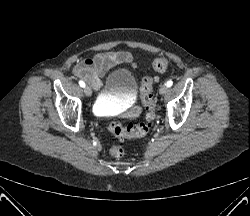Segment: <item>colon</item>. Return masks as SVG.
<instances>
[{"label":"colon","instance_id":"obj_1","mask_svg":"<svg viewBox=\"0 0 250 216\" xmlns=\"http://www.w3.org/2000/svg\"><path fill=\"white\" fill-rule=\"evenodd\" d=\"M169 66V60L165 57L157 58L153 61L152 67L155 72L163 73ZM157 81L156 76H145L140 85V99L145 106L146 121L135 125L123 126L118 123L111 122L108 124L109 131L120 139H133L146 136L152 125L155 116V100L153 97V85ZM110 153L115 158H121L124 150L119 146H113Z\"/></svg>","mask_w":250,"mask_h":216}]
</instances>
